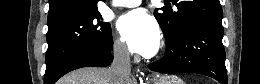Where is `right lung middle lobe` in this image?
<instances>
[{
    "label": "right lung middle lobe",
    "instance_id": "right-lung-middle-lobe-1",
    "mask_svg": "<svg viewBox=\"0 0 260 84\" xmlns=\"http://www.w3.org/2000/svg\"><path fill=\"white\" fill-rule=\"evenodd\" d=\"M46 71L65 57L83 50L110 52L113 47L111 26L94 12L48 28Z\"/></svg>",
    "mask_w": 260,
    "mask_h": 84
}]
</instances>
